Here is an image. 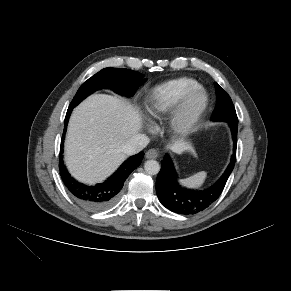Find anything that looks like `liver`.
<instances>
[{
	"label": "liver",
	"instance_id": "6515ba94",
	"mask_svg": "<svg viewBox=\"0 0 291 291\" xmlns=\"http://www.w3.org/2000/svg\"><path fill=\"white\" fill-rule=\"evenodd\" d=\"M142 129V118L125 100L94 94L78 105L70 118L65 141V162L71 174L95 183L112 174L126 159L122 146ZM190 145L175 141L169 148L182 153Z\"/></svg>",
	"mask_w": 291,
	"mask_h": 291
}]
</instances>
